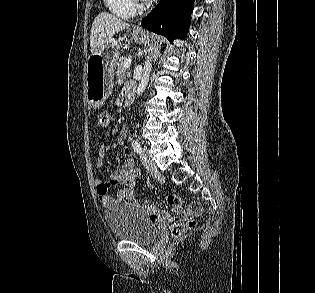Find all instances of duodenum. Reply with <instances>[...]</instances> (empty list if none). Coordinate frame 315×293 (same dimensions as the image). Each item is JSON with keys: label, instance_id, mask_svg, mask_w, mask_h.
I'll use <instances>...</instances> for the list:
<instances>
[{"label": "duodenum", "instance_id": "410a0bca", "mask_svg": "<svg viewBox=\"0 0 315 293\" xmlns=\"http://www.w3.org/2000/svg\"><path fill=\"white\" fill-rule=\"evenodd\" d=\"M134 100V91L128 92L125 96V106L129 107L133 103Z\"/></svg>", "mask_w": 315, "mask_h": 293}]
</instances>
